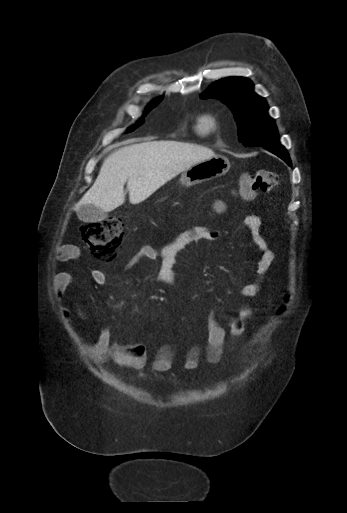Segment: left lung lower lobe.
Instances as JSON below:
<instances>
[{"label": "left lung lower lobe", "instance_id": "1", "mask_svg": "<svg viewBox=\"0 0 347 513\" xmlns=\"http://www.w3.org/2000/svg\"><path fill=\"white\" fill-rule=\"evenodd\" d=\"M262 147L265 148L266 150L274 153L275 155H277L278 157L283 159L289 166H291V160L289 158V155H288L286 149L282 145L278 144L273 147H269V146H262Z\"/></svg>", "mask_w": 347, "mask_h": 513}]
</instances>
